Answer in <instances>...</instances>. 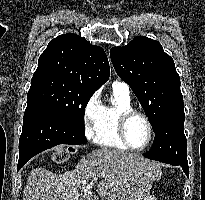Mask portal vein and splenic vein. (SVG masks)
I'll use <instances>...</instances> for the list:
<instances>
[{"label":"portal vein and splenic vein","mask_w":205,"mask_h":200,"mask_svg":"<svg viewBox=\"0 0 205 200\" xmlns=\"http://www.w3.org/2000/svg\"><path fill=\"white\" fill-rule=\"evenodd\" d=\"M91 188H92V185L89 184V185H87L86 187H83V188H82V191H84V193L89 194Z\"/></svg>","instance_id":"1"}]
</instances>
